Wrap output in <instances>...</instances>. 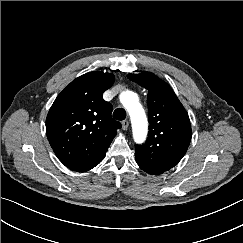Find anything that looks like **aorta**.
Returning a JSON list of instances; mask_svg holds the SVG:
<instances>
[{
  "instance_id": "aorta-1",
  "label": "aorta",
  "mask_w": 243,
  "mask_h": 243,
  "mask_svg": "<svg viewBox=\"0 0 243 243\" xmlns=\"http://www.w3.org/2000/svg\"><path fill=\"white\" fill-rule=\"evenodd\" d=\"M120 101L127 108L131 117L134 140L137 143L143 142L147 135V119L142 106L138 102L137 94L124 91L120 95Z\"/></svg>"
}]
</instances>
